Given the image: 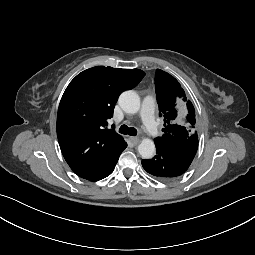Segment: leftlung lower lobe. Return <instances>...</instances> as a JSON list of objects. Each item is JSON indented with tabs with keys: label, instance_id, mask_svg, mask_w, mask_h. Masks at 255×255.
Returning a JSON list of instances; mask_svg holds the SVG:
<instances>
[{
	"label": "left lung lower lobe",
	"instance_id": "left-lung-lower-lobe-1",
	"mask_svg": "<svg viewBox=\"0 0 255 255\" xmlns=\"http://www.w3.org/2000/svg\"><path fill=\"white\" fill-rule=\"evenodd\" d=\"M197 148L198 140L180 145H156V155L152 159L142 160V166L158 179L171 180L189 168Z\"/></svg>",
	"mask_w": 255,
	"mask_h": 255
}]
</instances>
